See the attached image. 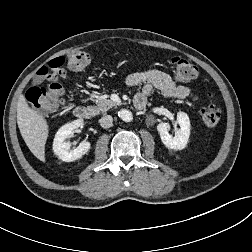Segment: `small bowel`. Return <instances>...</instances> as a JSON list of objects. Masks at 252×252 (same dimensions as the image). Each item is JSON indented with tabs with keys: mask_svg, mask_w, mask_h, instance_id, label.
I'll list each match as a JSON object with an SVG mask.
<instances>
[{
	"mask_svg": "<svg viewBox=\"0 0 252 252\" xmlns=\"http://www.w3.org/2000/svg\"><path fill=\"white\" fill-rule=\"evenodd\" d=\"M61 75L64 79L71 80V76L67 72L63 71ZM127 84L131 87L142 86L134 100L138 108L145 105L147 98L155 89L165 97L178 99H184L192 93L191 87L176 84L168 74L157 69L131 74L127 78ZM141 103L143 106H140Z\"/></svg>",
	"mask_w": 252,
	"mask_h": 252,
	"instance_id": "c3829d8e",
	"label": "small bowel"
}]
</instances>
